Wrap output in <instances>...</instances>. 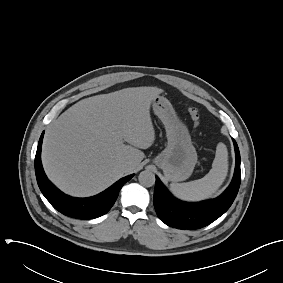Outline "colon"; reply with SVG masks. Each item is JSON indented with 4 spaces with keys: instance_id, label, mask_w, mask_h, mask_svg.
<instances>
[{
    "instance_id": "colon-1",
    "label": "colon",
    "mask_w": 283,
    "mask_h": 283,
    "mask_svg": "<svg viewBox=\"0 0 283 283\" xmlns=\"http://www.w3.org/2000/svg\"><path fill=\"white\" fill-rule=\"evenodd\" d=\"M188 111L190 113V116L195 124H198L200 121V112L195 107H189Z\"/></svg>"
}]
</instances>
